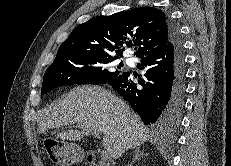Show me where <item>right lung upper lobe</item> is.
Instances as JSON below:
<instances>
[{"mask_svg":"<svg viewBox=\"0 0 231 166\" xmlns=\"http://www.w3.org/2000/svg\"><path fill=\"white\" fill-rule=\"evenodd\" d=\"M169 41V18L164 12L140 7L79 25L61 44L56 58L82 54L119 58L125 45H135L136 57L142 58L161 50Z\"/></svg>","mask_w":231,"mask_h":166,"instance_id":"1","label":"right lung upper lobe"}]
</instances>
